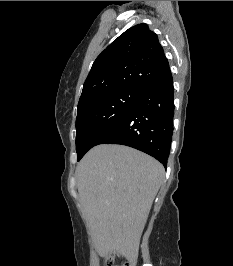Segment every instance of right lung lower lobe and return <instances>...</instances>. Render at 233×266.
I'll list each match as a JSON object with an SVG mask.
<instances>
[{
	"mask_svg": "<svg viewBox=\"0 0 233 266\" xmlns=\"http://www.w3.org/2000/svg\"><path fill=\"white\" fill-rule=\"evenodd\" d=\"M173 92L169 70L143 90L129 111L97 145H127L153 156L166 167L173 134Z\"/></svg>",
	"mask_w": 233,
	"mask_h": 266,
	"instance_id": "1",
	"label": "right lung lower lobe"
}]
</instances>
